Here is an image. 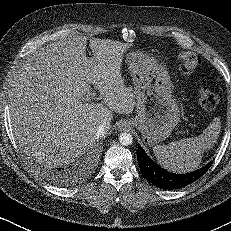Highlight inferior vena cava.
<instances>
[{"instance_id": "1", "label": "inferior vena cava", "mask_w": 231, "mask_h": 231, "mask_svg": "<svg viewBox=\"0 0 231 231\" xmlns=\"http://www.w3.org/2000/svg\"><path fill=\"white\" fill-rule=\"evenodd\" d=\"M110 128H111V124L109 122L100 124L97 129L96 137L97 138L103 137L109 131Z\"/></svg>"}]
</instances>
